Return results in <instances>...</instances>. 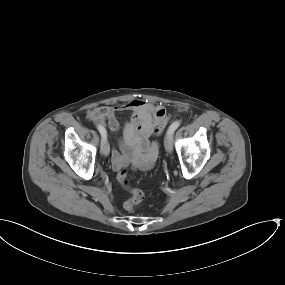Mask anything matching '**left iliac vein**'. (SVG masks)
<instances>
[{
    "instance_id": "1",
    "label": "left iliac vein",
    "mask_w": 285,
    "mask_h": 285,
    "mask_svg": "<svg viewBox=\"0 0 285 285\" xmlns=\"http://www.w3.org/2000/svg\"><path fill=\"white\" fill-rule=\"evenodd\" d=\"M172 139H173V133H167L164 139V145L168 153H171L173 151Z\"/></svg>"
}]
</instances>
